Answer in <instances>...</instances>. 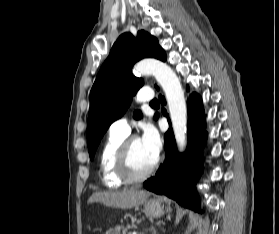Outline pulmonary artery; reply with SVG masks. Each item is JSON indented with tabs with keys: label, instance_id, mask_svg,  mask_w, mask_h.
Masks as SVG:
<instances>
[{
	"label": "pulmonary artery",
	"instance_id": "pulmonary-artery-1",
	"mask_svg": "<svg viewBox=\"0 0 279 234\" xmlns=\"http://www.w3.org/2000/svg\"><path fill=\"white\" fill-rule=\"evenodd\" d=\"M153 99V93L151 89H142L138 93L136 100L137 102H149ZM110 131L114 133L127 135L130 131V127L128 124V119L126 116H122L121 118L115 120L111 126Z\"/></svg>",
	"mask_w": 279,
	"mask_h": 234
}]
</instances>
